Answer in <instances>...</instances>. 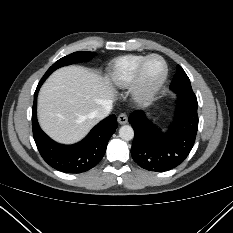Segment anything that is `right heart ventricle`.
I'll use <instances>...</instances> for the list:
<instances>
[{
  "label": "right heart ventricle",
  "mask_w": 233,
  "mask_h": 233,
  "mask_svg": "<svg viewBox=\"0 0 233 233\" xmlns=\"http://www.w3.org/2000/svg\"><path fill=\"white\" fill-rule=\"evenodd\" d=\"M145 57L130 54L114 60L108 71L110 82L118 88H128L133 83L136 71Z\"/></svg>",
  "instance_id": "obj_1"
}]
</instances>
